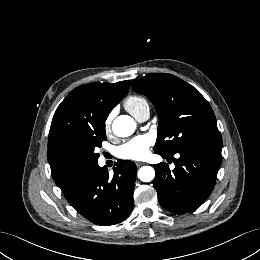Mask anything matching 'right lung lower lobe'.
Masks as SVG:
<instances>
[{"label":"right lung lower lobe","instance_id":"1","mask_svg":"<svg viewBox=\"0 0 260 260\" xmlns=\"http://www.w3.org/2000/svg\"><path fill=\"white\" fill-rule=\"evenodd\" d=\"M136 165L132 161L118 160L114 175L106 167L85 169L63 192L67 201L86 219L109 226L126 219L134 200Z\"/></svg>","mask_w":260,"mask_h":260}]
</instances>
